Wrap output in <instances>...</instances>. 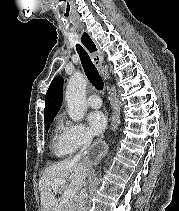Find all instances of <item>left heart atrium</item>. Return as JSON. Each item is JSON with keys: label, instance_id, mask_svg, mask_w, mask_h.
Instances as JSON below:
<instances>
[{"label": "left heart atrium", "instance_id": "left-heart-atrium-1", "mask_svg": "<svg viewBox=\"0 0 179 211\" xmlns=\"http://www.w3.org/2000/svg\"><path fill=\"white\" fill-rule=\"evenodd\" d=\"M87 121L90 130L94 135L101 134L105 130L107 125L106 116L100 111L91 112L87 117Z\"/></svg>", "mask_w": 179, "mask_h": 211}]
</instances>
